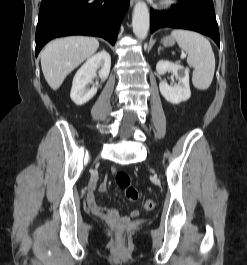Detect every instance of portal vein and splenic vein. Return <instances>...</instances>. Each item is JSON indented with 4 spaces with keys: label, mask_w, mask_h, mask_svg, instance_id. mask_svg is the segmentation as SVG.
<instances>
[{
    "label": "portal vein and splenic vein",
    "mask_w": 247,
    "mask_h": 265,
    "mask_svg": "<svg viewBox=\"0 0 247 265\" xmlns=\"http://www.w3.org/2000/svg\"><path fill=\"white\" fill-rule=\"evenodd\" d=\"M186 57V55L183 53L182 55H181V59H184Z\"/></svg>",
    "instance_id": "obj_1"
}]
</instances>
